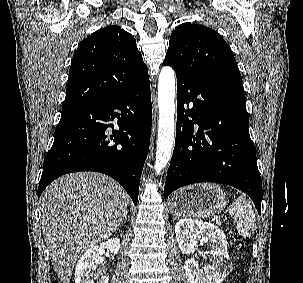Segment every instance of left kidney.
Returning a JSON list of instances; mask_svg holds the SVG:
<instances>
[{
    "label": "left kidney",
    "mask_w": 303,
    "mask_h": 283,
    "mask_svg": "<svg viewBox=\"0 0 303 283\" xmlns=\"http://www.w3.org/2000/svg\"><path fill=\"white\" fill-rule=\"evenodd\" d=\"M176 239L180 250L193 254L197 240L210 247V262L200 269L196 259L185 261L184 269L190 283H222L229 275L231 265L224 233L214 224L193 219H180L175 225Z\"/></svg>",
    "instance_id": "left-kidney-1"
}]
</instances>
